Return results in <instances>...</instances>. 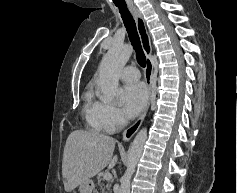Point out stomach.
Returning a JSON list of instances; mask_svg holds the SVG:
<instances>
[{
  "label": "stomach",
  "instance_id": "obj_1",
  "mask_svg": "<svg viewBox=\"0 0 237 193\" xmlns=\"http://www.w3.org/2000/svg\"><path fill=\"white\" fill-rule=\"evenodd\" d=\"M94 188V183L92 180H87L85 182H83L82 184H80L79 186V192L80 193H92Z\"/></svg>",
  "mask_w": 237,
  "mask_h": 193
}]
</instances>
